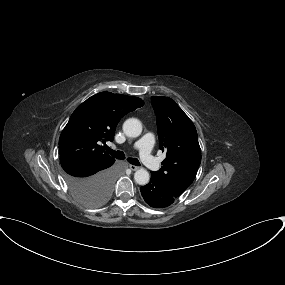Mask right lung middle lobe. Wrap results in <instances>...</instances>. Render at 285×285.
Listing matches in <instances>:
<instances>
[{
	"instance_id": "right-lung-middle-lobe-1",
	"label": "right lung middle lobe",
	"mask_w": 285,
	"mask_h": 285,
	"mask_svg": "<svg viewBox=\"0 0 285 285\" xmlns=\"http://www.w3.org/2000/svg\"><path fill=\"white\" fill-rule=\"evenodd\" d=\"M112 185H75L70 186L74 196L83 204L88 206H99L106 202L111 194Z\"/></svg>"
}]
</instances>
